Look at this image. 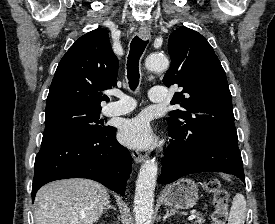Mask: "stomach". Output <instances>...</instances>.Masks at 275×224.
Listing matches in <instances>:
<instances>
[{
	"label": "stomach",
	"instance_id": "0dacf381",
	"mask_svg": "<svg viewBox=\"0 0 275 224\" xmlns=\"http://www.w3.org/2000/svg\"><path fill=\"white\" fill-rule=\"evenodd\" d=\"M198 188L189 178H182L167 186L162 192L165 205L176 209H190L198 201Z\"/></svg>",
	"mask_w": 275,
	"mask_h": 224
}]
</instances>
